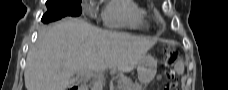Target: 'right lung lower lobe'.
Segmentation results:
<instances>
[{"instance_id": "1", "label": "right lung lower lobe", "mask_w": 228, "mask_h": 90, "mask_svg": "<svg viewBox=\"0 0 228 90\" xmlns=\"http://www.w3.org/2000/svg\"><path fill=\"white\" fill-rule=\"evenodd\" d=\"M62 17H63L62 15L53 16L51 14V12L48 10L47 13L44 14V16L42 18V21L45 22V23H47V22H50V21L58 20V19H60Z\"/></svg>"}]
</instances>
